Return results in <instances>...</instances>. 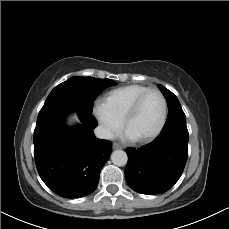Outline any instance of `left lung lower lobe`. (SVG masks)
<instances>
[{
	"label": "left lung lower lobe",
	"mask_w": 229,
	"mask_h": 229,
	"mask_svg": "<svg viewBox=\"0 0 229 229\" xmlns=\"http://www.w3.org/2000/svg\"><path fill=\"white\" fill-rule=\"evenodd\" d=\"M186 124H178L139 149L128 148L125 178L131 189L142 194L169 190L183 173L188 157Z\"/></svg>",
	"instance_id": "1"
}]
</instances>
